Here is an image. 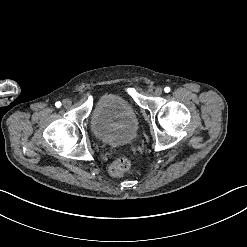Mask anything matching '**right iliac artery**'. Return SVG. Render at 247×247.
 Wrapping results in <instances>:
<instances>
[{"label":"right iliac artery","mask_w":247,"mask_h":247,"mask_svg":"<svg viewBox=\"0 0 247 247\" xmlns=\"http://www.w3.org/2000/svg\"><path fill=\"white\" fill-rule=\"evenodd\" d=\"M55 106L59 108L61 106V102H56Z\"/></svg>","instance_id":"obj_1"}]
</instances>
